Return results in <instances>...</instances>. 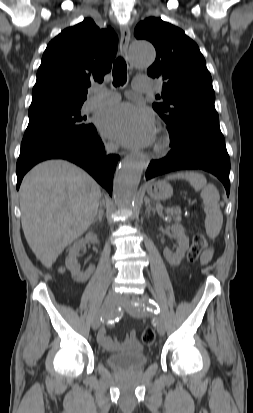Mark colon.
<instances>
[{"label": "colon", "mask_w": 253, "mask_h": 413, "mask_svg": "<svg viewBox=\"0 0 253 413\" xmlns=\"http://www.w3.org/2000/svg\"><path fill=\"white\" fill-rule=\"evenodd\" d=\"M208 241L202 232H198L192 240V244L187 252L186 260L189 264H193L199 260L202 254L206 251ZM141 340L144 344L150 345L155 341V333L152 329H146L142 332Z\"/></svg>", "instance_id": "obj_1"}]
</instances>
